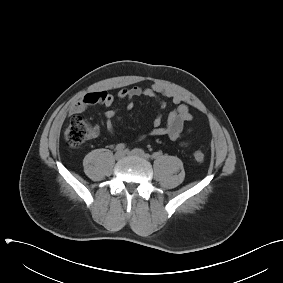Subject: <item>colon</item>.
I'll list each match as a JSON object with an SVG mask.
<instances>
[{
	"label": "colon",
	"mask_w": 283,
	"mask_h": 283,
	"mask_svg": "<svg viewBox=\"0 0 283 283\" xmlns=\"http://www.w3.org/2000/svg\"><path fill=\"white\" fill-rule=\"evenodd\" d=\"M92 134V128L83 116H75L64 130V140L68 148L77 149ZM192 158L196 163H202L205 155L201 150H195Z\"/></svg>",
	"instance_id": "colon-1"
}]
</instances>
